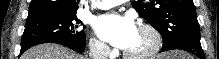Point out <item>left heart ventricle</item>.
<instances>
[{"instance_id": "b2bd125f", "label": "left heart ventricle", "mask_w": 219, "mask_h": 59, "mask_svg": "<svg viewBox=\"0 0 219 59\" xmlns=\"http://www.w3.org/2000/svg\"><path fill=\"white\" fill-rule=\"evenodd\" d=\"M151 44V37L140 30L131 41L130 45L125 49L132 53H139L146 50Z\"/></svg>"}]
</instances>
